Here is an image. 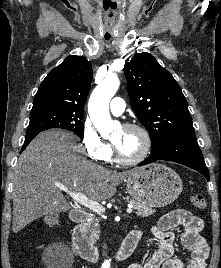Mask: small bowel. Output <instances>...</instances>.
Returning a JSON list of instances; mask_svg holds the SVG:
<instances>
[{"mask_svg":"<svg viewBox=\"0 0 221 268\" xmlns=\"http://www.w3.org/2000/svg\"><path fill=\"white\" fill-rule=\"evenodd\" d=\"M174 228L181 229V244L189 252L184 260L173 257L177 240L171 231ZM202 229L203 221L187 210L177 209L163 215L151 228L160 242L157 252L146 263H132L128 268H205L209 246L201 235Z\"/></svg>","mask_w":221,"mask_h":268,"instance_id":"1","label":"small bowel"}]
</instances>
